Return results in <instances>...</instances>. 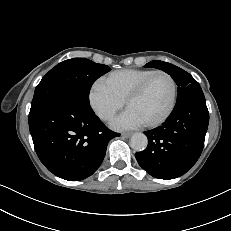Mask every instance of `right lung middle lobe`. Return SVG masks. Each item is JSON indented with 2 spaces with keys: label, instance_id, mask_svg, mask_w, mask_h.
Masks as SVG:
<instances>
[{
  "label": "right lung middle lobe",
  "instance_id": "1",
  "mask_svg": "<svg viewBox=\"0 0 231 231\" xmlns=\"http://www.w3.org/2000/svg\"><path fill=\"white\" fill-rule=\"evenodd\" d=\"M107 65L85 58L65 60L51 69L37 85L31 110L58 94H71L89 103V92L96 79L110 71Z\"/></svg>",
  "mask_w": 231,
  "mask_h": 231
}]
</instances>
